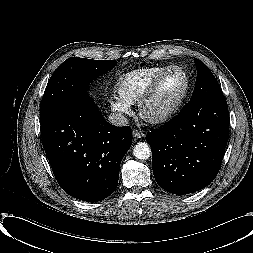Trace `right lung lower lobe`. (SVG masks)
Segmentation results:
<instances>
[{"mask_svg":"<svg viewBox=\"0 0 253 253\" xmlns=\"http://www.w3.org/2000/svg\"><path fill=\"white\" fill-rule=\"evenodd\" d=\"M41 136L54 176L68 195L96 202L114 192L132 144L131 129L108 123L86 92L65 100L41 122Z\"/></svg>","mask_w":253,"mask_h":253,"instance_id":"obj_1","label":"right lung lower lobe"}]
</instances>
